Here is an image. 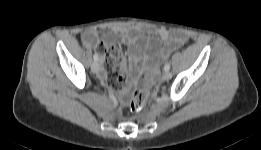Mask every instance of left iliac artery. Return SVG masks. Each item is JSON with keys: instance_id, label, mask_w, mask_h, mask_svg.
Returning a JSON list of instances; mask_svg holds the SVG:
<instances>
[{"instance_id": "obj_1", "label": "left iliac artery", "mask_w": 261, "mask_h": 150, "mask_svg": "<svg viewBox=\"0 0 261 150\" xmlns=\"http://www.w3.org/2000/svg\"><path fill=\"white\" fill-rule=\"evenodd\" d=\"M164 70H165V71H169V70H170V65H169V64H165Z\"/></svg>"}]
</instances>
